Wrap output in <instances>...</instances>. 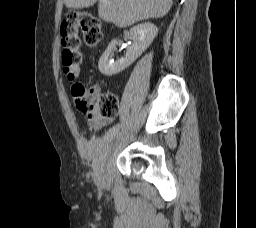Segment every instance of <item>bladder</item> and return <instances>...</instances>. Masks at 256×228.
<instances>
[{
	"mask_svg": "<svg viewBox=\"0 0 256 228\" xmlns=\"http://www.w3.org/2000/svg\"><path fill=\"white\" fill-rule=\"evenodd\" d=\"M128 145L122 136L108 132L105 136L91 141L88 145V154L97 170H103L111 163L116 155Z\"/></svg>",
	"mask_w": 256,
	"mask_h": 228,
	"instance_id": "31cf9c89",
	"label": "bladder"
}]
</instances>
